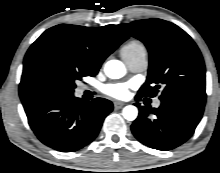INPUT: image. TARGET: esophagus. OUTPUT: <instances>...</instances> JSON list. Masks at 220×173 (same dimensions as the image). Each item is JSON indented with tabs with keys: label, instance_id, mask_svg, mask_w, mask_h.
Listing matches in <instances>:
<instances>
[{
	"label": "esophagus",
	"instance_id": "34e87169",
	"mask_svg": "<svg viewBox=\"0 0 220 173\" xmlns=\"http://www.w3.org/2000/svg\"><path fill=\"white\" fill-rule=\"evenodd\" d=\"M124 105H125V104H124L123 102H121V101H115V102H114V108H115V109H120V108H122Z\"/></svg>",
	"mask_w": 220,
	"mask_h": 173
}]
</instances>
